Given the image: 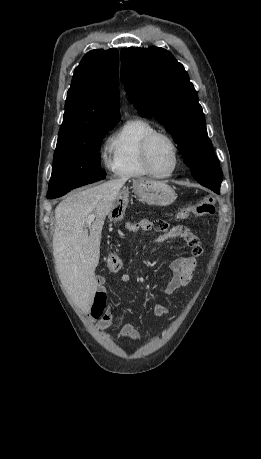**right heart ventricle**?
I'll use <instances>...</instances> for the list:
<instances>
[{"label": "right heart ventricle", "mask_w": 261, "mask_h": 459, "mask_svg": "<svg viewBox=\"0 0 261 459\" xmlns=\"http://www.w3.org/2000/svg\"><path fill=\"white\" fill-rule=\"evenodd\" d=\"M154 131L156 128L151 122L135 119L127 122L115 135L109 150L117 176L131 178L149 174L142 162L141 147L146 136Z\"/></svg>", "instance_id": "right-heart-ventricle-1"}]
</instances>
